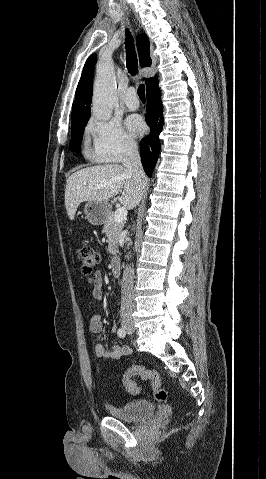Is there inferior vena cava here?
<instances>
[{"mask_svg":"<svg viewBox=\"0 0 266 479\" xmlns=\"http://www.w3.org/2000/svg\"><path fill=\"white\" fill-rule=\"evenodd\" d=\"M123 166L133 174L135 180L143 185L146 181V175L142 168L140 155L136 143L129 142L125 145L123 156ZM133 275L134 270L126 266L123 271L121 281V309L120 317L122 320L131 318L133 312Z\"/></svg>","mask_w":266,"mask_h":479,"instance_id":"inferior-vena-cava-1","label":"inferior vena cava"}]
</instances>
